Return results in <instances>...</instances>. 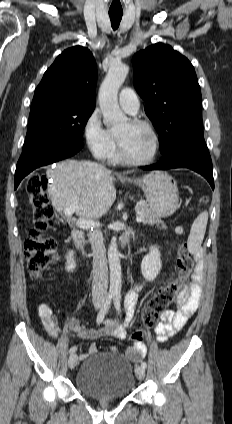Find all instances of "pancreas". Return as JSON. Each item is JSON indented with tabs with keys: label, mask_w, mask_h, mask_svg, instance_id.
Masks as SVG:
<instances>
[{
	"label": "pancreas",
	"mask_w": 232,
	"mask_h": 424,
	"mask_svg": "<svg viewBox=\"0 0 232 424\" xmlns=\"http://www.w3.org/2000/svg\"><path fill=\"white\" fill-rule=\"evenodd\" d=\"M138 210L142 216V223L148 225H161L162 228L166 229V225L160 219V216L156 214L153 210L149 208V206L145 203L139 204Z\"/></svg>",
	"instance_id": "1"
}]
</instances>
